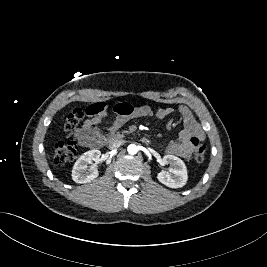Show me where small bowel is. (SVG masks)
<instances>
[{"label": "small bowel", "mask_w": 267, "mask_h": 267, "mask_svg": "<svg viewBox=\"0 0 267 267\" xmlns=\"http://www.w3.org/2000/svg\"><path fill=\"white\" fill-rule=\"evenodd\" d=\"M93 112L89 118L77 129V137L82 147L97 148L104 144L106 132L102 126L107 116V107L104 103H95L90 106ZM116 116L111 122L108 130L113 132L123 126L129 119L155 116L158 119H165L175 110L171 107H162L153 111L149 106L134 107L129 103H118L115 108ZM182 118L183 129L176 140L169 142L164 152L168 155H175L180 158H190L194 151V142L204 139V132L191 111L186 106H179L176 110Z\"/></svg>", "instance_id": "c3829d8e"}]
</instances>
